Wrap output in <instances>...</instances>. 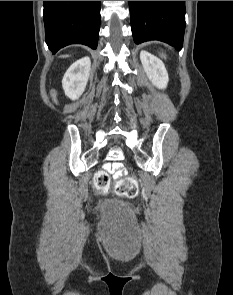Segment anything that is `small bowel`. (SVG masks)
<instances>
[{"mask_svg": "<svg viewBox=\"0 0 233 295\" xmlns=\"http://www.w3.org/2000/svg\"><path fill=\"white\" fill-rule=\"evenodd\" d=\"M105 169L112 173L114 179L119 178L123 174V165L120 162L108 163L105 165Z\"/></svg>", "mask_w": 233, "mask_h": 295, "instance_id": "1", "label": "small bowel"}]
</instances>
